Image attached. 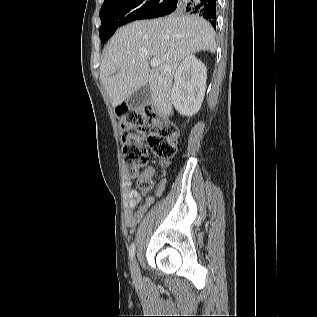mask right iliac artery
<instances>
[{
    "instance_id": "right-iliac-artery-1",
    "label": "right iliac artery",
    "mask_w": 317,
    "mask_h": 317,
    "mask_svg": "<svg viewBox=\"0 0 317 317\" xmlns=\"http://www.w3.org/2000/svg\"><path fill=\"white\" fill-rule=\"evenodd\" d=\"M134 256H135V245L134 243H132L129 248V257L131 260H133Z\"/></svg>"
}]
</instances>
